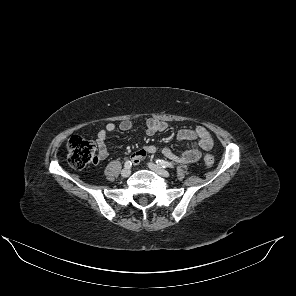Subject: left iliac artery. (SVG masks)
<instances>
[{
    "mask_svg": "<svg viewBox=\"0 0 296 296\" xmlns=\"http://www.w3.org/2000/svg\"><path fill=\"white\" fill-rule=\"evenodd\" d=\"M156 163L158 165L162 166L163 168H172V169L175 168V166L172 163H170L168 161L161 160V159L156 160Z\"/></svg>",
    "mask_w": 296,
    "mask_h": 296,
    "instance_id": "44dca946",
    "label": "left iliac artery"
}]
</instances>
